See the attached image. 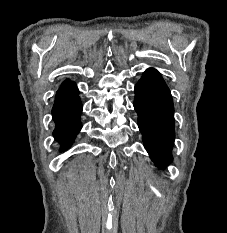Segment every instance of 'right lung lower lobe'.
I'll list each match as a JSON object with an SVG mask.
<instances>
[{
  "instance_id": "obj_1",
  "label": "right lung lower lobe",
  "mask_w": 227,
  "mask_h": 233,
  "mask_svg": "<svg viewBox=\"0 0 227 233\" xmlns=\"http://www.w3.org/2000/svg\"><path fill=\"white\" fill-rule=\"evenodd\" d=\"M81 112L82 104L75 83L70 82L61 86L56 93L52 116L56 124L53 135L60 143L62 151L71 146L75 136L81 130Z\"/></svg>"
}]
</instances>
